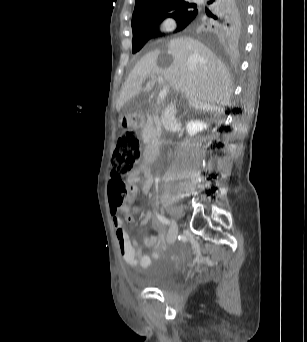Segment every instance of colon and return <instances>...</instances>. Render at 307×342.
Masks as SVG:
<instances>
[{
	"instance_id": "colon-1",
	"label": "colon",
	"mask_w": 307,
	"mask_h": 342,
	"mask_svg": "<svg viewBox=\"0 0 307 342\" xmlns=\"http://www.w3.org/2000/svg\"><path fill=\"white\" fill-rule=\"evenodd\" d=\"M141 144L135 132L122 133L117 141L113 154L112 178L110 183V207H116V189H123V203L127 197L124 177L136 169L140 161ZM118 208V207H117ZM127 220L131 219V213L125 215Z\"/></svg>"
}]
</instances>
